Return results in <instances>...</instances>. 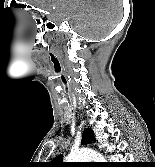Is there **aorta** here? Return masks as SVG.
<instances>
[{"label":"aorta","instance_id":"aorta-1","mask_svg":"<svg viewBox=\"0 0 155 167\" xmlns=\"http://www.w3.org/2000/svg\"><path fill=\"white\" fill-rule=\"evenodd\" d=\"M95 160L97 162H104V157L92 149H80L72 151L67 157V162H90Z\"/></svg>","mask_w":155,"mask_h":167}]
</instances>
